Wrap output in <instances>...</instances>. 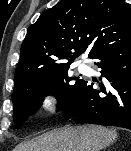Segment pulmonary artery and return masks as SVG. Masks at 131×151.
<instances>
[{
    "label": "pulmonary artery",
    "mask_w": 131,
    "mask_h": 151,
    "mask_svg": "<svg viewBox=\"0 0 131 151\" xmlns=\"http://www.w3.org/2000/svg\"><path fill=\"white\" fill-rule=\"evenodd\" d=\"M85 69H86L85 66H83V65L79 66L80 71H85Z\"/></svg>",
    "instance_id": "e3ab8cb5"
}]
</instances>
